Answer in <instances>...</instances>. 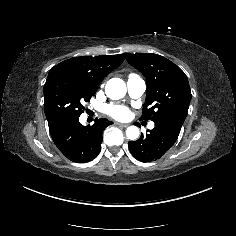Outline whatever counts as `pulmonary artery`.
<instances>
[{"label":"pulmonary artery","instance_id":"obj_1","mask_svg":"<svg viewBox=\"0 0 236 236\" xmlns=\"http://www.w3.org/2000/svg\"><path fill=\"white\" fill-rule=\"evenodd\" d=\"M128 93L132 98H140L146 89V84L142 78L137 75H130L127 80ZM149 129L154 128V123L150 122Z\"/></svg>","mask_w":236,"mask_h":236}]
</instances>
